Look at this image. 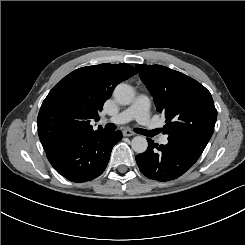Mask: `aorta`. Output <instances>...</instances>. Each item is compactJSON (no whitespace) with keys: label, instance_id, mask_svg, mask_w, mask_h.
Here are the masks:
<instances>
[{"label":"aorta","instance_id":"1","mask_svg":"<svg viewBox=\"0 0 245 245\" xmlns=\"http://www.w3.org/2000/svg\"><path fill=\"white\" fill-rule=\"evenodd\" d=\"M114 97L121 105H129L134 99V91L127 84H119L114 89ZM131 147L136 153H143L147 150L148 142L143 136H135L131 140Z\"/></svg>","mask_w":245,"mask_h":245}]
</instances>
